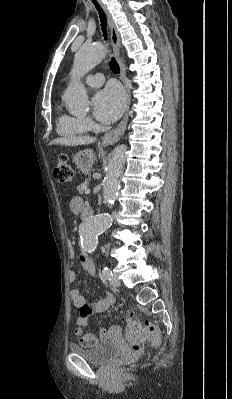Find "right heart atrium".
Listing matches in <instances>:
<instances>
[{
    "label": "right heart atrium",
    "mask_w": 232,
    "mask_h": 399,
    "mask_svg": "<svg viewBox=\"0 0 232 399\" xmlns=\"http://www.w3.org/2000/svg\"><path fill=\"white\" fill-rule=\"evenodd\" d=\"M85 123L87 124L88 127H93V123L91 122L90 119L86 118L84 119Z\"/></svg>",
    "instance_id": "right-heart-atrium-1"
}]
</instances>
